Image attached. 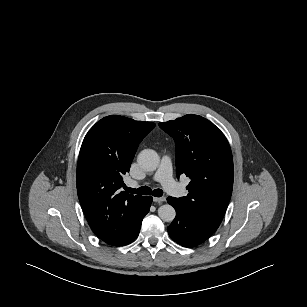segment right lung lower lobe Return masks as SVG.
Segmentation results:
<instances>
[{"instance_id":"obj_1","label":"right lung lower lobe","mask_w":307,"mask_h":307,"mask_svg":"<svg viewBox=\"0 0 307 307\" xmlns=\"http://www.w3.org/2000/svg\"><path fill=\"white\" fill-rule=\"evenodd\" d=\"M151 203H152V197H151V196H146V208H145V213H144V215H143V218H144V216L148 213ZM143 218H142V219H143ZM142 219H141V221H140V223H139V225H138V227H137V229H136L134 235L132 236V238H131V239L128 241V243H126V244L131 243L132 241H134V240L137 238V236H138V234H139V231H140Z\"/></svg>"}]
</instances>
